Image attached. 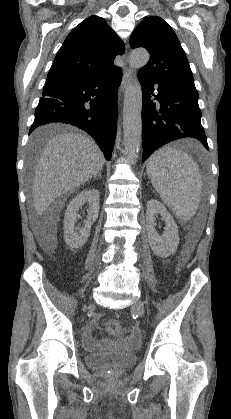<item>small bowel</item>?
<instances>
[{
  "mask_svg": "<svg viewBox=\"0 0 231 419\" xmlns=\"http://www.w3.org/2000/svg\"><path fill=\"white\" fill-rule=\"evenodd\" d=\"M98 328L97 320H93L90 322L84 330L83 337H84V346L89 350H93L97 347L98 344H105L107 342L106 339L96 340L93 336V332ZM138 339L136 334H133L131 337L126 338L123 340L126 344H135L137 343Z\"/></svg>",
  "mask_w": 231,
  "mask_h": 419,
  "instance_id": "small-bowel-1",
  "label": "small bowel"
}]
</instances>
